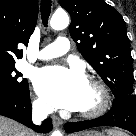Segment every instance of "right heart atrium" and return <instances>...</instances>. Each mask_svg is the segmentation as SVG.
Masks as SVG:
<instances>
[{
  "label": "right heart atrium",
  "mask_w": 136,
  "mask_h": 136,
  "mask_svg": "<svg viewBox=\"0 0 136 136\" xmlns=\"http://www.w3.org/2000/svg\"><path fill=\"white\" fill-rule=\"evenodd\" d=\"M33 107L38 112L44 113L48 111V106L41 99H35L33 101Z\"/></svg>",
  "instance_id": "obj_1"
}]
</instances>
